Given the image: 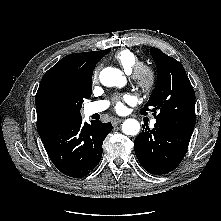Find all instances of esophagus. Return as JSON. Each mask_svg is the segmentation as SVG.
I'll return each instance as SVG.
<instances>
[{"mask_svg": "<svg viewBox=\"0 0 221 221\" xmlns=\"http://www.w3.org/2000/svg\"><path fill=\"white\" fill-rule=\"evenodd\" d=\"M123 121V119H120V118H116L112 121L113 125H117L119 123H121Z\"/></svg>", "mask_w": 221, "mask_h": 221, "instance_id": "obj_1", "label": "esophagus"}]
</instances>
